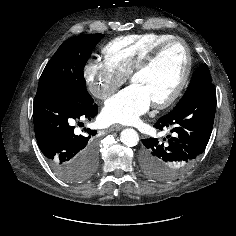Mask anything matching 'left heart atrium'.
Masks as SVG:
<instances>
[{
  "instance_id": "39dd6f15",
  "label": "left heart atrium",
  "mask_w": 236,
  "mask_h": 236,
  "mask_svg": "<svg viewBox=\"0 0 236 236\" xmlns=\"http://www.w3.org/2000/svg\"><path fill=\"white\" fill-rule=\"evenodd\" d=\"M151 103L144 88L133 83L106 101L102 119L109 124H133L148 110Z\"/></svg>"
}]
</instances>
